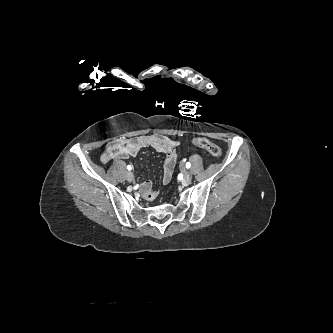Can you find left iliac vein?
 I'll use <instances>...</instances> for the list:
<instances>
[{
  "label": "left iliac vein",
  "mask_w": 333,
  "mask_h": 333,
  "mask_svg": "<svg viewBox=\"0 0 333 333\" xmlns=\"http://www.w3.org/2000/svg\"><path fill=\"white\" fill-rule=\"evenodd\" d=\"M183 173H184V178H183L182 184L189 185L192 181V176L187 170H184Z\"/></svg>",
  "instance_id": "4c4485c4"
}]
</instances>
